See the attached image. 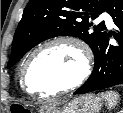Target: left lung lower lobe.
Masks as SVG:
<instances>
[{"label":"left lung lower lobe","instance_id":"1","mask_svg":"<svg viewBox=\"0 0 123 113\" xmlns=\"http://www.w3.org/2000/svg\"><path fill=\"white\" fill-rule=\"evenodd\" d=\"M106 11L119 28L118 44L110 45L108 35L96 52L94 70L88 80L74 94H83L123 84V0H110ZM119 37V38H118Z\"/></svg>","mask_w":123,"mask_h":113}]
</instances>
